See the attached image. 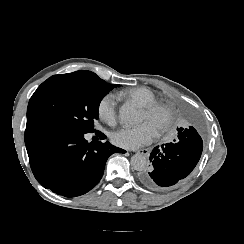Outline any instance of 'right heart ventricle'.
Masks as SVG:
<instances>
[{"label": "right heart ventricle", "mask_w": 244, "mask_h": 244, "mask_svg": "<svg viewBox=\"0 0 244 244\" xmlns=\"http://www.w3.org/2000/svg\"><path fill=\"white\" fill-rule=\"evenodd\" d=\"M120 98H128L138 102L141 106L157 102L154 93L146 87H136L122 90Z\"/></svg>", "instance_id": "1"}]
</instances>
